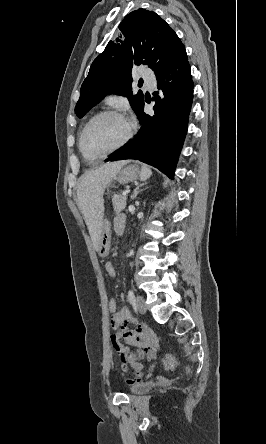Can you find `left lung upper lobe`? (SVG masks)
<instances>
[{"mask_svg": "<svg viewBox=\"0 0 266 444\" xmlns=\"http://www.w3.org/2000/svg\"><path fill=\"white\" fill-rule=\"evenodd\" d=\"M123 36L109 41L105 50L93 61L84 80L75 113L82 118L106 94L128 97L138 112L144 102L139 91L132 94L131 69L147 65L160 74L186 51L170 26L155 12L138 9L129 13L119 25Z\"/></svg>", "mask_w": 266, "mask_h": 444, "instance_id": "5c2ea615", "label": "left lung upper lobe"}]
</instances>
